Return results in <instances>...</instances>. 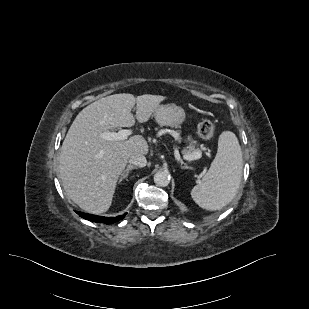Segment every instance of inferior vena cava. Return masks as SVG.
<instances>
[{"instance_id": "602c4592", "label": "inferior vena cava", "mask_w": 309, "mask_h": 309, "mask_svg": "<svg viewBox=\"0 0 309 309\" xmlns=\"http://www.w3.org/2000/svg\"><path fill=\"white\" fill-rule=\"evenodd\" d=\"M129 162L131 164L138 166V167H145L146 164H147V160H146L145 156L142 155V154H133L129 158Z\"/></svg>"}]
</instances>
